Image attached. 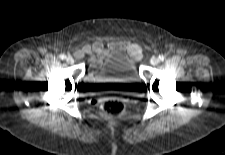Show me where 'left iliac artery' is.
<instances>
[{"label": "left iliac artery", "instance_id": "44dca946", "mask_svg": "<svg viewBox=\"0 0 225 155\" xmlns=\"http://www.w3.org/2000/svg\"><path fill=\"white\" fill-rule=\"evenodd\" d=\"M158 59H159L160 61H164V59H165V56H163V55H160V56L158 57Z\"/></svg>", "mask_w": 225, "mask_h": 155}]
</instances>
